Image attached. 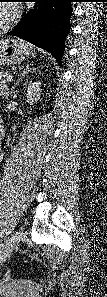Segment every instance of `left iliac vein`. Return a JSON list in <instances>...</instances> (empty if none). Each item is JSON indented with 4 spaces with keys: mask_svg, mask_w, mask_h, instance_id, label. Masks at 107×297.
<instances>
[{
    "mask_svg": "<svg viewBox=\"0 0 107 297\" xmlns=\"http://www.w3.org/2000/svg\"><path fill=\"white\" fill-rule=\"evenodd\" d=\"M21 238V232L16 231L11 238L9 239V241L7 242L6 246H5V254L7 256H9L11 254V252L17 247L19 241Z\"/></svg>",
    "mask_w": 107,
    "mask_h": 297,
    "instance_id": "left-iliac-vein-1",
    "label": "left iliac vein"
}]
</instances>
